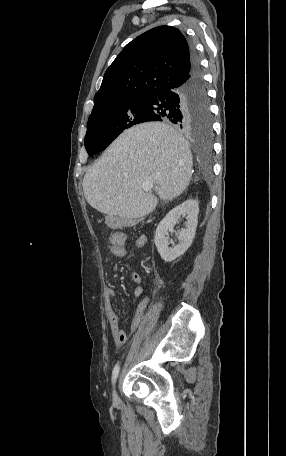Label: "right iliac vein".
<instances>
[{"mask_svg": "<svg viewBox=\"0 0 286 456\" xmlns=\"http://www.w3.org/2000/svg\"><path fill=\"white\" fill-rule=\"evenodd\" d=\"M112 396H113V401H114L115 403H118V402H119V397H118L117 392H116L115 389L113 390Z\"/></svg>", "mask_w": 286, "mask_h": 456, "instance_id": "right-iliac-vein-1", "label": "right iliac vein"}]
</instances>
